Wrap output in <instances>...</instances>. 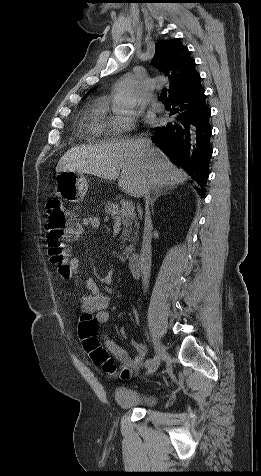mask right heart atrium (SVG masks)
Here are the masks:
<instances>
[{"mask_svg": "<svg viewBox=\"0 0 261 476\" xmlns=\"http://www.w3.org/2000/svg\"><path fill=\"white\" fill-rule=\"evenodd\" d=\"M136 120L137 116L134 111L118 113L109 121L108 133L113 136L124 135L134 129Z\"/></svg>", "mask_w": 261, "mask_h": 476, "instance_id": "d8ad5b80", "label": "right heart atrium"}]
</instances>
